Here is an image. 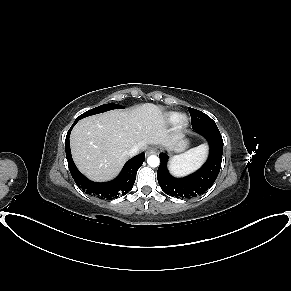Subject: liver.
Segmentation results:
<instances>
[{"instance_id":"obj_1","label":"liver","mask_w":291,"mask_h":291,"mask_svg":"<svg viewBox=\"0 0 291 291\" xmlns=\"http://www.w3.org/2000/svg\"><path fill=\"white\" fill-rule=\"evenodd\" d=\"M180 139L169 135L162 108L145 103L82 119L73 128L70 144L79 170L104 181L119 172L133 146L145 150L148 144H159L172 149Z\"/></svg>"}]
</instances>
